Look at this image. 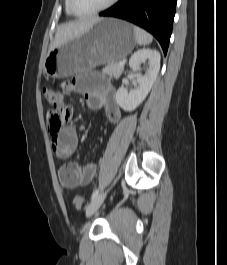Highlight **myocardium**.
Listing matches in <instances>:
<instances>
[{"instance_id": "1", "label": "myocardium", "mask_w": 227, "mask_h": 265, "mask_svg": "<svg viewBox=\"0 0 227 265\" xmlns=\"http://www.w3.org/2000/svg\"><path fill=\"white\" fill-rule=\"evenodd\" d=\"M118 0H108L105 4H103L102 6L88 11V12H79L75 9L74 7V1L73 0H68V8L70 10V12L77 17H86V16H91V15H95L98 13H101L107 9H109L110 7H112Z\"/></svg>"}]
</instances>
